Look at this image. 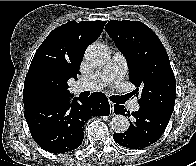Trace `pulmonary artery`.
Instances as JSON below:
<instances>
[{
	"instance_id": "1",
	"label": "pulmonary artery",
	"mask_w": 196,
	"mask_h": 166,
	"mask_svg": "<svg viewBox=\"0 0 196 166\" xmlns=\"http://www.w3.org/2000/svg\"><path fill=\"white\" fill-rule=\"evenodd\" d=\"M126 72L127 63L124 55L120 52H115L110 62L104 68L76 81L73 85V90L75 92L100 90L111 83L120 82ZM130 109L133 111L139 109L137 100L130 103Z\"/></svg>"
}]
</instances>
